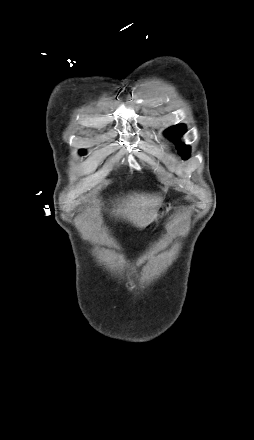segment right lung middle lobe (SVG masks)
Wrapping results in <instances>:
<instances>
[{"label": "right lung middle lobe", "instance_id": "obj_1", "mask_svg": "<svg viewBox=\"0 0 254 440\" xmlns=\"http://www.w3.org/2000/svg\"><path fill=\"white\" fill-rule=\"evenodd\" d=\"M80 153L81 154H85V150H80Z\"/></svg>", "mask_w": 254, "mask_h": 440}]
</instances>
